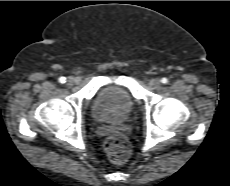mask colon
<instances>
[{"label": "colon", "instance_id": "colon-1", "mask_svg": "<svg viewBox=\"0 0 230 186\" xmlns=\"http://www.w3.org/2000/svg\"><path fill=\"white\" fill-rule=\"evenodd\" d=\"M108 158L114 164L126 162L131 154L129 140L124 135H113L108 137L104 143Z\"/></svg>", "mask_w": 230, "mask_h": 186}]
</instances>
